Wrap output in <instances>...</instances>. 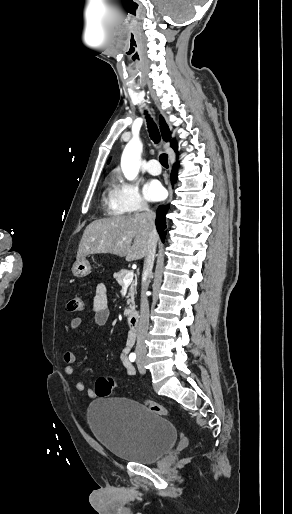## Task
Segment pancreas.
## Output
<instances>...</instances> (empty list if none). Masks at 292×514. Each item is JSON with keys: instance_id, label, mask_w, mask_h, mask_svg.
Returning a JSON list of instances; mask_svg holds the SVG:
<instances>
[{"instance_id": "obj_1", "label": "pancreas", "mask_w": 292, "mask_h": 514, "mask_svg": "<svg viewBox=\"0 0 292 514\" xmlns=\"http://www.w3.org/2000/svg\"><path fill=\"white\" fill-rule=\"evenodd\" d=\"M127 274H129V270H121V272H116V274H114V278H116L118 284H120V286H125L124 284V278L125 276H127ZM135 282H131V286L129 288V294L127 296L128 300V304H131V308H134V296L136 294L135 292ZM130 312H132V310H125V316H128V314H130Z\"/></svg>"}]
</instances>
